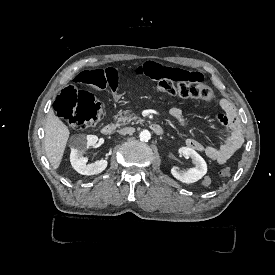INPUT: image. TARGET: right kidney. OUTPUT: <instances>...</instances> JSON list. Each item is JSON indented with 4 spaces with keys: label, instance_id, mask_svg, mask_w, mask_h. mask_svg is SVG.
<instances>
[{
    "label": "right kidney",
    "instance_id": "right-kidney-1",
    "mask_svg": "<svg viewBox=\"0 0 275 275\" xmlns=\"http://www.w3.org/2000/svg\"><path fill=\"white\" fill-rule=\"evenodd\" d=\"M97 141L98 137L96 135L76 134L70 138V162L78 173L82 175H95L106 169V160H98L94 163L87 164L88 159L83 157L84 151L90 146H94Z\"/></svg>",
    "mask_w": 275,
    "mask_h": 275
}]
</instances>
